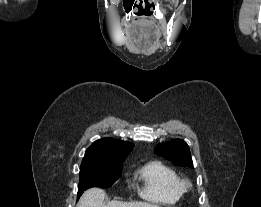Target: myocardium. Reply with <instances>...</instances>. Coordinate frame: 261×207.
I'll use <instances>...</instances> for the list:
<instances>
[{"instance_id": "f54148a6", "label": "myocardium", "mask_w": 261, "mask_h": 207, "mask_svg": "<svg viewBox=\"0 0 261 207\" xmlns=\"http://www.w3.org/2000/svg\"><path fill=\"white\" fill-rule=\"evenodd\" d=\"M181 185L184 191L191 188V183L188 180H181Z\"/></svg>"}]
</instances>
